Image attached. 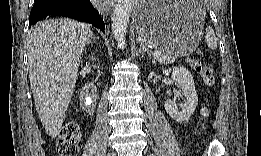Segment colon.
<instances>
[{
  "instance_id": "obj_1",
  "label": "colon",
  "mask_w": 261,
  "mask_h": 156,
  "mask_svg": "<svg viewBox=\"0 0 261 156\" xmlns=\"http://www.w3.org/2000/svg\"><path fill=\"white\" fill-rule=\"evenodd\" d=\"M191 67L198 73L204 83L211 87L215 83L214 70L206 66L201 60H193ZM208 115L207 110H203V116ZM81 138V130L75 119H69L61 128L59 139L57 142V152L61 156H76L79 152V142Z\"/></svg>"
}]
</instances>
